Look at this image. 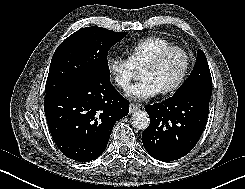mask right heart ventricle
<instances>
[{
  "mask_svg": "<svg viewBox=\"0 0 245 189\" xmlns=\"http://www.w3.org/2000/svg\"><path fill=\"white\" fill-rule=\"evenodd\" d=\"M172 43L161 36H150L130 44L126 49L127 59L135 70H140L162 49Z\"/></svg>",
  "mask_w": 245,
  "mask_h": 189,
  "instance_id": "obj_1",
  "label": "right heart ventricle"
}]
</instances>
